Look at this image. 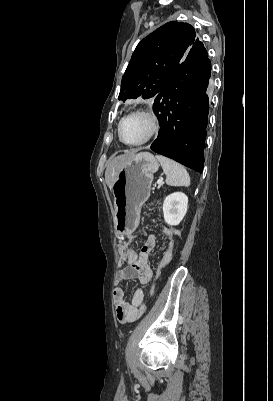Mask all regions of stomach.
Returning a JSON list of instances; mask_svg holds the SVG:
<instances>
[{"instance_id":"obj_1","label":"stomach","mask_w":273,"mask_h":401,"mask_svg":"<svg viewBox=\"0 0 273 401\" xmlns=\"http://www.w3.org/2000/svg\"><path fill=\"white\" fill-rule=\"evenodd\" d=\"M159 162L151 152L123 164L112 186L115 235H131L140 223L141 207L150 196L153 174Z\"/></svg>"}]
</instances>
